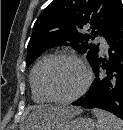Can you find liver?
<instances>
[{
  "label": "liver",
  "instance_id": "obj_1",
  "mask_svg": "<svg viewBox=\"0 0 123 130\" xmlns=\"http://www.w3.org/2000/svg\"><path fill=\"white\" fill-rule=\"evenodd\" d=\"M81 112L72 106H37L28 116L25 128L31 130H49L58 123L71 119Z\"/></svg>",
  "mask_w": 123,
  "mask_h": 130
}]
</instances>
